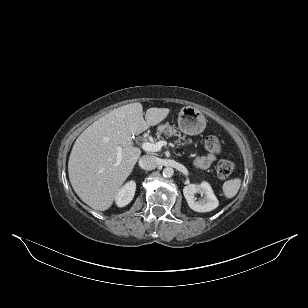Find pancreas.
I'll return each instance as SVG.
<instances>
[{
	"label": "pancreas",
	"instance_id": "obj_1",
	"mask_svg": "<svg viewBox=\"0 0 308 308\" xmlns=\"http://www.w3.org/2000/svg\"><path fill=\"white\" fill-rule=\"evenodd\" d=\"M162 134H164L167 137H171V136L178 137V140H176L175 143L177 144V146L183 145V143H181L180 141L181 139H183V137L181 136L180 132H178L174 128V126H170L168 123L159 125L157 127L156 138L161 139Z\"/></svg>",
	"mask_w": 308,
	"mask_h": 308
}]
</instances>
